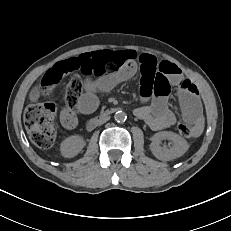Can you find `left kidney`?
Returning <instances> with one entry per match:
<instances>
[{
    "mask_svg": "<svg viewBox=\"0 0 231 231\" xmlns=\"http://www.w3.org/2000/svg\"><path fill=\"white\" fill-rule=\"evenodd\" d=\"M165 139L172 141L173 145L171 148L160 146V141ZM188 148L189 145L183 137L170 131L156 133L152 137V143L150 145L153 155L162 161H169L181 157Z\"/></svg>",
    "mask_w": 231,
    "mask_h": 231,
    "instance_id": "5707ae66",
    "label": "left kidney"
}]
</instances>
